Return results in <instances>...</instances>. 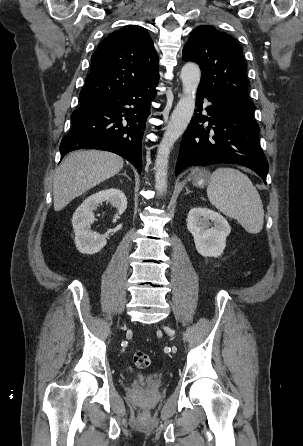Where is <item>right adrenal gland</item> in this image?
I'll list each match as a JSON object with an SVG mask.
<instances>
[{
	"mask_svg": "<svg viewBox=\"0 0 303 446\" xmlns=\"http://www.w3.org/2000/svg\"><path fill=\"white\" fill-rule=\"evenodd\" d=\"M122 175H124L125 177H127L128 178V180H130L131 181V178L127 175V173H126V171H124V173L122 174Z\"/></svg>",
	"mask_w": 303,
	"mask_h": 446,
	"instance_id": "right-adrenal-gland-1",
	"label": "right adrenal gland"
}]
</instances>
